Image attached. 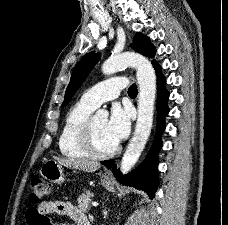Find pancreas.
<instances>
[{"instance_id": "cf45deb5", "label": "pancreas", "mask_w": 228, "mask_h": 225, "mask_svg": "<svg viewBox=\"0 0 228 225\" xmlns=\"http://www.w3.org/2000/svg\"><path fill=\"white\" fill-rule=\"evenodd\" d=\"M92 195L93 193H90V191H85V193H83V195H80V197L77 199V205L81 211H84V213H87V211L90 209V197H92Z\"/></svg>"}]
</instances>
